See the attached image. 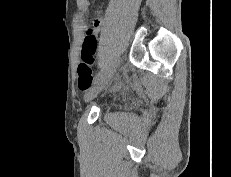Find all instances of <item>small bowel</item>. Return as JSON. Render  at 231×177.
<instances>
[{"instance_id": "c3829d8e", "label": "small bowel", "mask_w": 231, "mask_h": 177, "mask_svg": "<svg viewBox=\"0 0 231 177\" xmlns=\"http://www.w3.org/2000/svg\"><path fill=\"white\" fill-rule=\"evenodd\" d=\"M91 28H87L86 26H82V30L85 31L87 34L89 31L93 32V34L96 36L98 32L100 31L101 25H102V18L100 16H97L94 18Z\"/></svg>"}]
</instances>
